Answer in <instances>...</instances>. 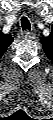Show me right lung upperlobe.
I'll list each match as a JSON object with an SVG mask.
<instances>
[{
  "label": "right lung upper lobe",
  "instance_id": "cb5924a9",
  "mask_svg": "<svg viewBox=\"0 0 53 120\" xmlns=\"http://www.w3.org/2000/svg\"><path fill=\"white\" fill-rule=\"evenodd\" d=\"M0 57L5 53L8 46L13 42V38L10 35L0 33Z\"/></svg>",
  "mask_w": 53,
  "mask_h": 120
}]
</instances>
